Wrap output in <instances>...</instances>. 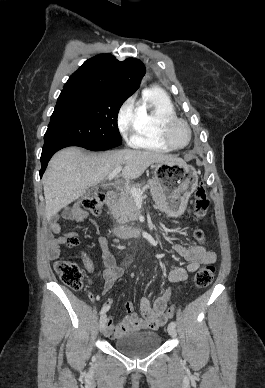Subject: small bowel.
<instances>
[{"instance_id":"obj_1","label":"small bowel","mask_w":265,"mask_h":388,"mask_svg":"<svg viewBox=\"0 0 265 388\" xmlns=\"http://www.w3.org/2000/svg\"><path fill=\"white\" fill-rule=\"evenodd\" d=\"M182 215H185V213H182ZM62 217L76 223H82L87 219V213L78 204H75L66 209L62 213ZM50 228L55 234L60 232V226L56 219L51 222ZM97 243L101 249L104 262V283L101 295H105L111 291L116 281L122 277L123 269L117 266L108 240L105 237L100 236L97 238ZM79 244L80 240L78 233L73 231L67 232L62 236L51 239L48 249L49 256L51 259H59L60 247L62 245L78 246ZM173 250L186 260L188 264L186 267H175L169 272L168 278L172 283L185 281L188 278V275L196 272L202 264H212L216 261L215 252L206 248L202 243L194 244L191 247H186L182 244H174ZM80 255L85 269L89 273H94L95 265L90 256L83 250ZM89 283H91V281ZM171 295L172 290H169L164 295L156 298L153 304L147 297H142L140 299L141 315L136 314L133 311L132 304L127 302L125 305L127 315L119 324H114L112 318L107 317L105 335L110 338H116L130 331L156 330L160 326H163L167 320L165 310ZM88 296L92 301L99 300V296H94L91 292L88 293ZM112 304L113 300L108 299L103 307H109L110 309Z\"/></svg>"}]
</instances>
